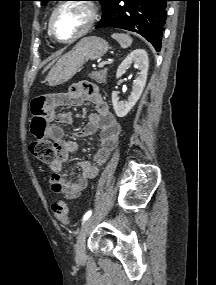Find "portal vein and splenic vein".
Segmentation results:
<instances>
[{"label":"portal vein and splenic vein","instance_id":"1","mask_svg":"<svg viewBox=\"0 0 216 285\" xmlns=\"http://www.w3.org/2000/svg\"><path fill=\"white\" fill-rule=\"evenodd\" d=\"M107 63H108V62H102V63L99 64V67L102 68V67H104V65L107 64Z\"/></svg>","mask_w":216,"mask_h":285}]
</instances>
